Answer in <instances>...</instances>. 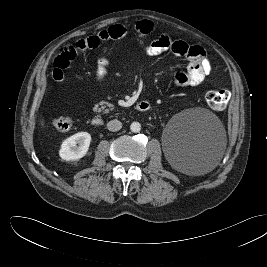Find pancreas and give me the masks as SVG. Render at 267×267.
I'll use <instances>...</instances> for the list:
<instances>
[{"label": "pancreas", "mask_w": 267, "mask_h": 267, "mask_svg": "<svg viewBox=\"0 0 267 267\" xmlns=\"http://www.w3.org/2000/svg\"><path fill=\"white\" fill-rule=\"evenodd\" d=\"M106 106L108 107V109H106ZM113 108H114L113 104L105 102V101H100L99 105H95L94 110L98 111V112L104 110L107 113V112L113 110Z\"/></svg>", "instance_id": "pancreas-1"}]
</instances>
